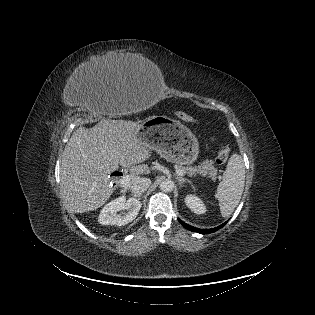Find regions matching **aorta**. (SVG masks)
Listing matches in <instances>:
<instances>
[{
    "label": "aorta",
    "mask_w": 315,
    "mask_h": 315,
    "mask_svg": "<svg viewBox=\"0 0 315 315\" xmlns=\"http://www.w3.org/2000/svg\"><path fill=\"white\" fill-rule=\"evenodd\" d=\"M160 189L164 192H171L173 191L175 184L173 180L171 179H164L163 181L160 182Z\"/></svg>",
    "instance_id": "aorta-1"
}]
</instances>
